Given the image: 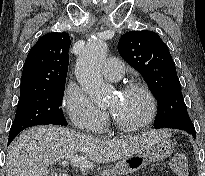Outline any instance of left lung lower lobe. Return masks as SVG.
<instances>
[{
  "label": "left lung lower lobe",
  "instance_id": "0a47b994",
  "mask_svg": "<svg viewBox=\"0 0 205 176\" xmlns=\"http://www.w3.org/2000/svg\"><path fill=\"white\" fill-rule=\"evenodd\" d=\"M166 128H174L179 130H184L196 138V131L194 125L190 119L182 120L170 125L165 126Z\"/></svg>",
  "mask_w": 205,
  "mask_h": 176
}]
</instances>
